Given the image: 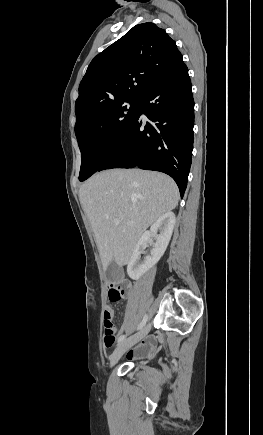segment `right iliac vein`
<instances>
[{
    "label": "right iliac vein",
    "mask_w": 263,
    "mask_h": 435,
    "mask_svg": "<svg viewBox=\"0 0 263 435\" xmlns=\"http://www.w3.org/2000/svg\"><path fill=\"white\" fill-rule=\"evenodd\" d=\"M150 328L151 325L148 324L136 334L122 341L110 357V367H113L128 349H130L134 344L143 339L150 331Z\"/></svg>",
    "instance_id": "right-iliac-vein-1"
}]
</instances>
